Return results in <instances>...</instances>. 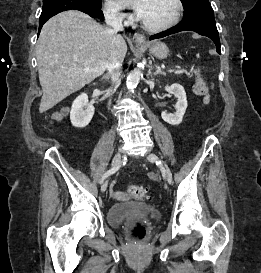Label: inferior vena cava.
Masks as SVG:
<instances>
[{"label":"inferior vena cava","instance_id":"602c4592","mask_svg":"<svg viewBox=\"0 0 261 273\" xmlns=\"http://www.w3.org/2000/svg\"><path fill=\"white\" fill-rule=\"evenodd\" d=\"M105 22L110 26L117 34L119 31H123L122 18L114 11H106ZM123 58L117 51L113 50L107 64L108 75L111 78L112 84L117 85L120 82V76L122 73Z\"/></svg>","mask_w":261,"mask_h":273}]
</instances>
